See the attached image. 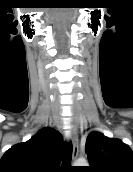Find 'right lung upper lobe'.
I'll return each instance as SVG.
<instances>
[{
    "mask_svg": "<svg viewBox=\"0 0 133 172\" xmlns=\"http://www.w3.org/2000/svg\"><path fill=\"white\" fill-rule=\"evenodd\" d=\"M63 137L47 127L24 143L8 149L0 159V172H58Z\"/></svg>",
    "mask_w": 133,
    "mask_h": 172,
    "instance_id": "right-lung-upper-lobe-1",
    "label": "right lung upper lobe"
}]
</instances>
